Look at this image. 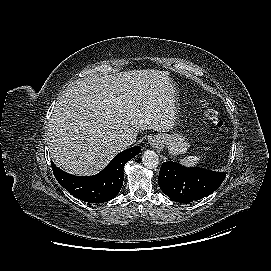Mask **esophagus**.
<instances>
[{"instance_id":"1","label":"esophagus","mask_w":271,"mask_h":271,"mask_svg":"<svg viewBox=\"0 0 271 271\" xmlns=\"http://www.w3.org/2000/svg\"><path fill=\"white\" fill-rule=\"evenodd\" d=\"M163 140L160 136L155 135L150 139V145L152 148L157 149V150H161L163 147Z\"/></svg>"}]
</instances>
